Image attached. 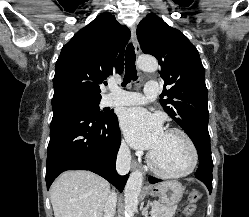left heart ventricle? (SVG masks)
Here are the masks:
<instances>
[{
	"instance_id": "b2bd125f",
	"label": "left heart ventricle",
	"mask_w": 249,
	"mask_h": 217,
	"mask_svg": "<svg viewBox=\"0 0 249 217\" xmlns=\"http://www.w3.org/2000/svg\"><path fill=\"white\" fill-rule=\"evenodd\" d=\"M151 152L156 165L165 171H183L191 162L188 144L176 133H164L159 145Z\"/></svg>"
}]
</instances>
